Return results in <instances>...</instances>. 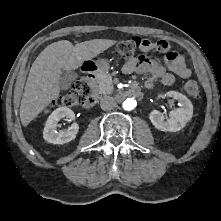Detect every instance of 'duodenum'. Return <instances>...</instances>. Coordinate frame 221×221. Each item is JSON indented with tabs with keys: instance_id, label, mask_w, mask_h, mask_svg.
I'll list each match as a JSON object with an SVG mask.
<instances>
[{
	"instance_id": "1",
	"label": "duodenum",
	"mask_w": 221,
	"mask_h": 221,
	"mask_svg": "<svg viewBox=\"0 0 221 221\" xmlns=\"http://www.w3.org/2000/svg\"><path fill=\"white\" fill-rule=\"evenodd\" d=\"M84 71L86 73V78L92 80L93 78H95V76H96V74L98 72V69H97V67L94 64H90V65H87L84 68ZM139 93H140L139 88L132 87V88L126 90V91L120 92L118 94V97L119 98H125V97H130V96H136ZM96 101H97L96 97L94 95L90 94L84 100L83 105L85 107H87V108H90V107H92L96 103Z\"/></svg>"
}]
</instances>
